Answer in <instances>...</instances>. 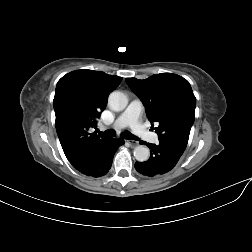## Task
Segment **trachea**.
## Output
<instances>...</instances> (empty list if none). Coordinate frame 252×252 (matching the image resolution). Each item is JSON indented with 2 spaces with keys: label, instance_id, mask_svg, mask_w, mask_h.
<instances>
[{
  "label": "trachea",
  "instance_id": "obj_1",
  "mask_svg": "<svg viewBox=\"0 0 252 252\" xmlns=\"http://www.w3.org/2000/svg\"><path fill=\"white\" fill-rule=\"evenodd\" d=\"M97 132L99 134H102V135L108 136V137H114L116 135V133L113 130H106L104 132H101V131H99L97 129ZM121 137L124 138V139H129V140H137L138 139L135 135H133V134H131L129 132H123L121 134Z\"/></svg>",
  "mask_w": 252,
  "mask_h": 252
}]
</instances>
